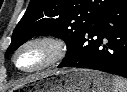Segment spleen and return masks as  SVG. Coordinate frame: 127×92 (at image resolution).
<instances>
[{
	"instance_id": "3e777b00",
	"label": "spleen",
	"mask_w": 127,
	"mask_h": 92,
	"mask_svg": "<svg viewBox=\"0 0 127 92\" xmlns=\"http://www.w3.org/2000/svg\"><path fill=\"white\" fill-rule=\"evenodd\" d=\"M113 92H127V80L121 77H113Z\"/></svg>"
}]
</instances>
